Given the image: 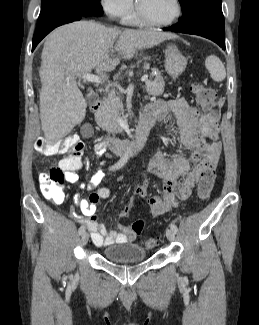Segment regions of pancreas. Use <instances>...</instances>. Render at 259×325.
I'll return each instance as SVG.
<instances>
[{
    "instance_id": "pancreas-1",
    "label": "pancreas",
    "mask_w": 259,
    "mask_h": 325,
    "mask_svg": "<svg viewBox=\"0 0 259 325\" xmlns=\"http://www.w3.org/2000/svg\"><path fill=\"white\" fill-rule=\"evenodd\" d=\"M156 71L154 80L150 79L145 82V88L149 95L159 96L164 91L165 82L160 74V71L153 68ZM123 104L114 92H110L106 98H104L98 112L95 115L96 123L105 131L110 134L121 133L122 128L118 123V117L123 115Z\"/></svg>"
}]
</instances>
